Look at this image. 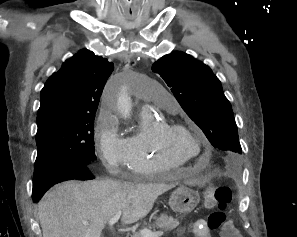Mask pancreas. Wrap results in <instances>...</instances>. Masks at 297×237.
Here are the masks:
<instances>
[{
  "mask_svg": "<svg viewBox=\"0 0 297 237\" xmlns=\"http://www.w3.org/2000/svg\"><path fill=\"white\" fill-rule=\"evenodd\" d=\"M179 226V221L174 219L173 217H169L166 214H162L157 220L155 224H152L151 228H160L165 231H171ZM131 237H142L140 233H135Z\"/></svg>",
  "mask_w": 297,
  "mask_h": 237,
  "instance_id": "1",
  "label": "pancreas"
}]
</instances>
